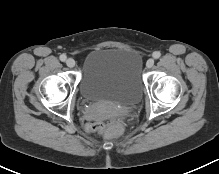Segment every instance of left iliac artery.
I'll list each match as a JSON object with an SVG mask.
<instances>
[{"label":"left iliac artery","instance_id":"obj_1","mask_svg":"<svg viewBox=\"0 0 219 174\" xmlns=\"http://www.w3.org/2000/svg\"><path fill=\"white\" fill-rule=\"evenodd\" d=\"M160 56H161V53H160L159 51H155V52L153 53V57H154L155 59H158Z\"/></svg>","mask_w":219,"mask_h":174}]
</instances>
